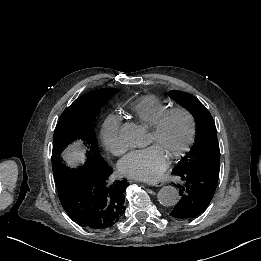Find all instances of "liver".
<instances>
[{"mask_svg":"<svg viewBox=\"0 0 261 261\" xmlns=\"http://www.w3.org/2000/svg\"><path fill=\"white\" fill-rule=\"evenodd\" d=\"M84 150L79 147H71L69 150L65 152V158L68 160H74L76 157H83Z\"/></svg>","mask_w":261,"mask_h":261,"instance_id":"1","label":"liver"}]
</instances>
